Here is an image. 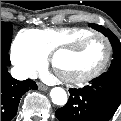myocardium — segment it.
<instances>
[{"label": "myocardium", "mask_w": 121, "mask_h": 121, "mask_svg": "<svg viewBox=\"0 0 121 121\" xmlns=\"http://www.w3.org/2000/svg\"><path fill=\"white\" fill-rule=\"evenodd\" d=\"M100 38L103 40L104 44H105V55L104 58L102 60V62L97 66L96 69L91 70V73L97 72V71H101L102 69L105 68V66L107 65L109 58H110V54H111V44L108 40V38L102 34H88L86 36H84L85 40H90L91 38ZM70 52V48H58L52 55V66L54 67V69L59 72L60 74L66 76L69 79H74L77 76V73L75 71L72 70H63L61 68H59L58 64H57V60L60 57V55L62 53H68Z\"/></svg>", "instance_id": "f54148a6"}]
</instances>
